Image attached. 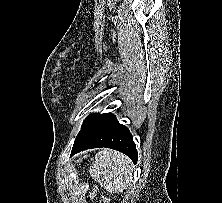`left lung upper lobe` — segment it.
I'll return each instance as SVG.
<instances>
[{
  "label": "left lung upper lobe",
  "instance_id": "5c2ea615",
  "mask_svg": "<svg viewBox=\"0 0 222 203\" xmlns=\"http://www.w3.org/2000/svg\"><path fill=\"white\" fill-rule=\"evenodd\" d=\"M94 117V115H91V116H89L88 118H86L85 119V121H84V123H83V125H82V127H81V130H80V132H79V134L84 130V128L87 126V124L91 121V119ZM78 134V135H79Z\"/></svg>",
  "mask_w": 222,
  "mask_h": 203
}]
</instances>
